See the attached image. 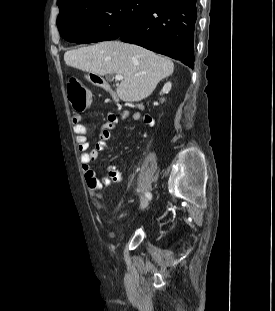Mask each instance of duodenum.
<instances>
[{
  "label": "duodenum",
  "instance_id": "obj_1",
  "mask_svg": "<svg viewBox=\"0 0 275 311\" xmlns=\"http://www.w3.org/2000/svg\"><path fill=\"white\" fill-rule=\"evenodd\" d=\"M90 81H92V84H97L98 86L113 94L109 86L105 82H103V77H101V74H90Z\"/></svg>",
  "mask_w": 275,
  "mask_h": 311
}]
</instances>
